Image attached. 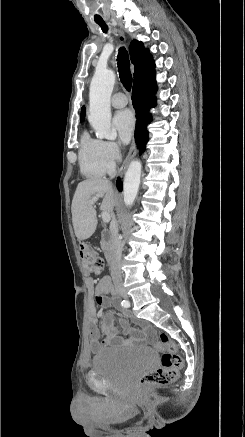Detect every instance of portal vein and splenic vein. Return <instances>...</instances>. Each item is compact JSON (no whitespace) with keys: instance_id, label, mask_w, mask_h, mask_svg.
I'll return each mask as SVG.
<instances>
[{"instance_id":"1","label":"portal vein and splenic vein","mask_w":245,"mask_h":437,"mask_svg":"<svg viewBox=\"0 0 245 437\" xmlns=\"http://www.w3.org/2000/svg\"><path fill=\"white\" fill-rule=\"evenodd\" d=\"M97 200H98V197H93V198H91L90 202H91V204H94ZM101 216H102L103 222L108 223L110 221L111 216L108 212L103 211L101 213Z\"/></svg>"}]
</instances>
